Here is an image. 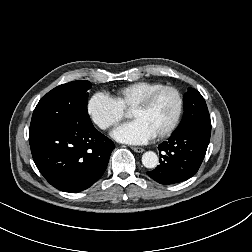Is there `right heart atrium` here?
Wrapping results in <instances>:
<instances>
[{
  "instance_id": "1",
  "label": "right heart atrium",
  "mask_w": 252,
  "mask_h": 252,
  "mask_svg": "<svg viewBox=\"0 0 252 252\" xmlns=\"http://www.w3.org/2000/svg\"><path fill=\"white\" fill-rule=\"evenodd\" d=\"M87 113L91 121L102 130L116 126L125 116V110L103 92H96L90 96Z\"/></svg>"
}]
</instances>
